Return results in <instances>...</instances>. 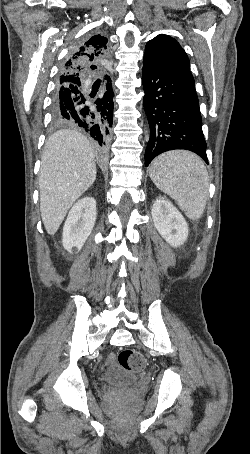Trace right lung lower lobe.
Masks as SVG:
<instances>
[{"label":"right lung lower lobe","mask_w":250,"mask_h":454,"mask_svg":"<svg viewBox=\"0 0 250 454\" xmlns=\"http://www.w3.org/2000/svg\"><path fill=\"white\" fill-rule=\"evenodd\" d=\"M107 92L97 99H90L79 85L70 84L57 88L53 99L52 115L62 125H75L88 132L97 143L105 147L113 124V91L111 79L104 76ZM95 94H90L94 98Z\"/></svg>","instance_id":"1"}]
</instances>
